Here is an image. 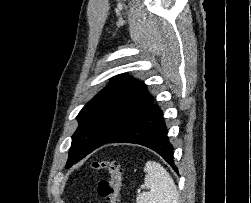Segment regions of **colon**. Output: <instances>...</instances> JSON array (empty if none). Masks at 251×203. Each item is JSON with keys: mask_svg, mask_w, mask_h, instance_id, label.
<instances>
[{"mask_svg": "<svg viewBox=\"0 0 251 203\" xmlns=\"http://www.w3.org/2000/svg\"><path fill=\"white\" fill-rule=\"evenodd\" d=\"M91 168L103 170L108 174V178L100 180L97 185V191L104 198V203H120V187L123 178L122 165L117 161L97 159L92 162Z\"/></svg>", "mask_w": 251, "mask_h": 203, "instance_id": "colon-1", "label": "colon"}]
</instances>
